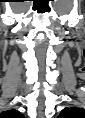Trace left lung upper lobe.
Listing matches in <instances>:
<instances>
[{
    "instance_id": "left-lung-upper-lobe-1",
    "label": "left lung upper lobe",
    "mask_w": 85,
    "mask_h": 118,
    "mask_svg": "<svg viewBox=\"0 0 85 118\" xmlns=\"http://www.w3.org/2000/svg\"><path fill=\"white\" fill-rule=\"evenodd\" d=\"M76 111V108H66L64 110H62L61 112V116H67V115H70L71 113L75 112Z\"/></svg>"
}]
</instances>
